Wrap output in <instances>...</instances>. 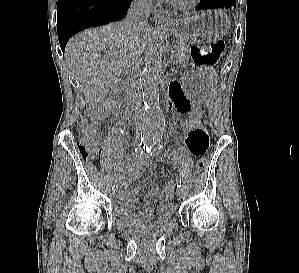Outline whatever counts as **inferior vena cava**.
<instances>
[{"mask_svg": "<svg viewBox=\"0 0 299 273\" xmlns=\"http://www.w3.org/2000/svg\"><path fill=\"white\" fill-rule=\"evenodd\" d=\"M151 2L150 0H133L126 17V22L132 29V31H137L148 27L147 21L149 18ZM138 52H133L131 54L130 63L126 67V72L128 74V89L132 95V111L135 112L136 116H140V95L137 93L139 88L138 82Z\"/></svg>", "mask_w": 299, "mask_h": 273, "instance_id": "inferior-vena-cava-1", "label": "inferior vena cava"}]
</instances>
